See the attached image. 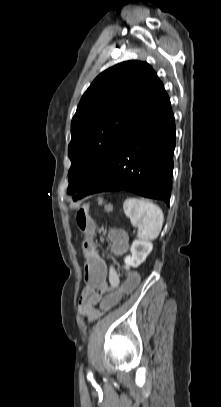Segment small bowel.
Returning <instances> with one entry per match:
<instances>
[{
    "label": "small bowel",
    "mask_w": 221,
    "mask_h": 407,
    "mask_svg": "<svg viewBox=\"0 0 221 407\" xmlns=\"http://www.w3.org/2000/svg\"><path fill=\"white\" fill-rule=\"evenodd\" d=\"M107 265V263H106ZM109 276L107 286H99L98 292H89L88 286H86L82 292L80 301H79V312L88 322H93L101 314V307L99 306V301L102 299L103 295L106 292H109L111 289H115L117 285H121L120 277L117 271L113 266H108Z\"/></svg>",
    "instance_id": "small-bowel-1"
}]
</instances>
